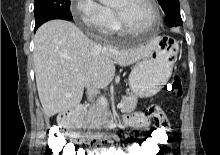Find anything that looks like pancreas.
<instances>
[{"mask_svg": "<svg viewBox=\"0 0 220 155\" xmlns=\"http://www.w3.org/2000/svg\"><path fill=\"white\" fill-rule=\"evenodd\" d=\"M121 102L124 103V106L121 108V111L131 112L135 110L137 106L138 99L136 96L128 95L122 96ZM106 111L104 107L100 104L93 105L89 108L87 115L83 120L84 127L86 128H101L105 123Z\"/></svg>", "mask_w": 220, "mask_h": 155, "instance_id": "cf45deb5", "label": "pancreas"}]
</instances>
